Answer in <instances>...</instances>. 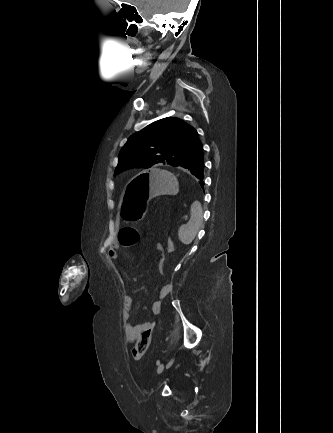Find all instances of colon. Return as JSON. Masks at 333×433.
<instances>
[{
    "label": "colon",
    "instance_id": "5ec220e1",
    "mask_svg": "<svg viewBox=\"0 0 333 433\" xmlns=\"http://www.w3.org/2000/svg\"><path fill=\"white\" fill-rule=\"evenodd\" d=\"M139 239L140 236L138 231L130 226L123 227L118 234L119 243L123 247L135 246L139 242ZM173 248L174 245L172 243L168 244V253H173ZM150 324L151 325L149 329H146L142 332L132 349V357L135 361L141 360L146 353L151 342L152 332L155 330V327L158 326L159 321L158 319L153 318L151 319Z\"/></svg>",
    "mask_w": 333,
    "mask_h": 433
}]
</instances>
